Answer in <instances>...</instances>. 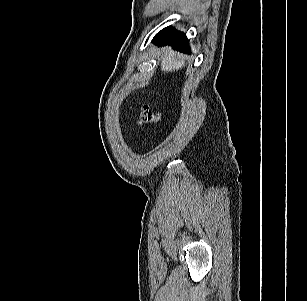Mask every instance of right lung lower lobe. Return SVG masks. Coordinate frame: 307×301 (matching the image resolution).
Here are the masks:
<instances>
[{
	"label": "right lung lower lobe",
	"instance_id": "right-lung-lower-lobe-1",
	"mask_svg": "<svg viewBox=\"0 0 307 301\" xmlns=\"http://www.w3.org/2000/svg\"><path fill=\"white\" fill-rule=\"evenodd\" d=\"M152 42L159 45H172L180 51L190 52L186 35L172 27H166L161 30L155 35Z\"/></svg>",
	"mask_w": 307,
	"mask_h": 301
}]
</instances>
